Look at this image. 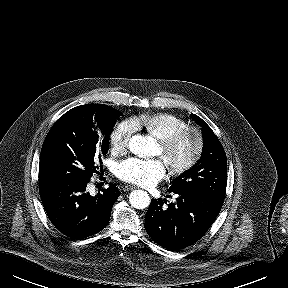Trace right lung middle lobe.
I'll use <instances>...</instances> for the list:
<instances>
[{"instance_id": "dd1d6c3e", "label": "right lung middle lobe", "mask_w": 288, "mask_h": 288, "mask_svg": "<svg viewBox=\"0 0 288 288\" xmlns=\"http://www.w3.org/2000/svg\"><path fill=\"white\" fill-rule=\"evenodd\" d=\"M122 113L104 104L75 107L48 132L40 154L39 182H89L109 149V135Z\"/></svg>"}]
</instances>
